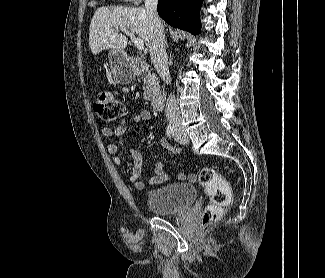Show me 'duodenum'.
<instances>
[{
  "label": "duodenum",
  "mask_w": 325,
  "mask_h": 278,
  "mask_svg": "<svg viewBox=\"0 0 325 278\" xmlns=\"http://www.w3.org/2000/svg\"><path fill=\"white\" fill-rule=\"evenodd\" d=\"M132 66L135 70H145L148 68L146 62L138 58L132 59ZM150 102H151V107L154 110L159 111L163 108L164 98L161 95H155L151 98Z\"/></svg>",
  "instance_id": "duodenum-1"
}]
</instances>
